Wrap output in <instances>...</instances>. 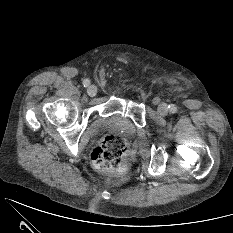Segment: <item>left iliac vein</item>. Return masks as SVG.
I'll list each match as a JSON object with an SVG mask.
<instances>
[{
  "label": "left iliac vein",
  "mask_w": 233,
  "mask_h": 233,
  "mask_svg": "<svg viewBox=\"0 0 233 233\" xmlns=\"http://www.w3.org/2000/svg\"><path fill=\"white\" fill-rule=\"evenodd\" d=\"M158 113L160 114V115H162V116H165V115H167V113H168V111H169V109H168V106H167V104H165V103H162V104H160L159 106H158Z\"/></svg>",
  "instance_id": "1"
}]
</instances>
